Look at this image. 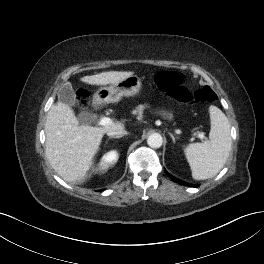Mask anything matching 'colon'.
<instances>
[{"label": "colon", "mask_w": 264, "mask_h": 264, "mask_svg": "<svg viewBox=\"0 0 264 264\" xmlns=\"http://www.w3.org/2000/svg\"><path fill=\"white\" fill-rule=\"evenodd\" d=\"M183 74L176 71H163L156 75L155 84L159 89L171 98L182 103H209L215 100L214 91L204 86L191 93L183 85ZM88 100V93L83 89L76 91V105L80 108L84 107Z\"/></svg>", "instance_id": "colon-1"}]
</instances>
